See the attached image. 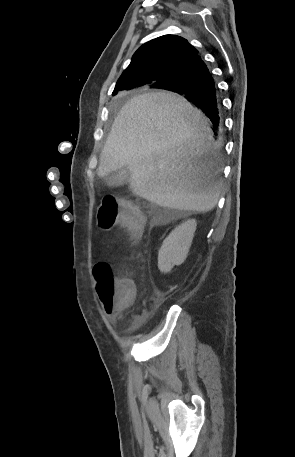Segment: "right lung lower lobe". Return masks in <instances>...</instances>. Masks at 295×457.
<instances>
[{
  "mask_svg": "<svg viewBox=\"0 0 295 457\" xmlns=\"http://www.w3.org/2000/svg\"><path fill=\"white\" fill-rule=\"evenodd\" d=\"M154 88L167 89L184 96L204 111L214 127L219 126L221 101L218 89L200 56L183 67L176 79L160 83Z\"/></svg>",
  "mask_w": 295,
  "mask_h": 457,
  "instance_id": "98d812e1",
  "label": "right lung lower lobe"
}]
</instances>
